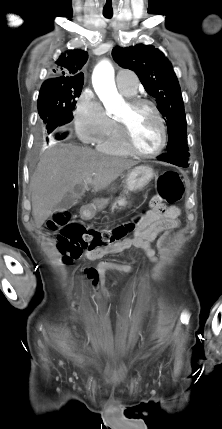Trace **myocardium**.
Returning <instances> with one entry per match:
<instances>
[{"instance_id":"obj_1","label":"myocardium","mask_w":222,"mask_h":429,"mask_svg":"<svg viewBox=\"0 0 222 429\" xmlns=\"http://www.w3.org/2000/svg\"><path fill=\"white\" fill-rule=\"evenodd\" d=\"M127 105L129 106V108L131 110H135L139 107H147L153 112L155 118L157 119L159 127H160L161 142H160L159 147L153 152L147 153V152H143V151L139 150L135 146V144L132 140L130 127H129L127 120L117 119L116 121H117V124L119 126L120 136H121V139H122L124 146L129 151V153H131L135 156L141 157V158H155V157L159 156L163 152V150L165 149V147L167 145V140H168L167 126H166V123H165V120H164L162 114L160 113V111L158 110V108L156 107V105L153 102H151L150 100L145 99V98L132 97L127 101Z\"/></svg>"}]
</instances>
